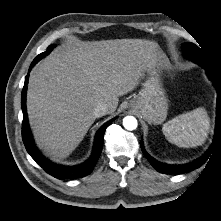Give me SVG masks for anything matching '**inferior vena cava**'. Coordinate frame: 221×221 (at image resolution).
I'll return each mask as SVG.
<instances>
[{"mask_svg":"<svg viewBox=\"0 0 221 221\" xmlns=\"http://www.w3.org/2000/svg\"><path fill=\"white\" fill-rule=\"evenodd\" d=\"M108 112H109L108 105L105 104V103H99V104L94 108L93 114H94V116L97 118V117H102V116L108 114Z\"/></svg>","mask_w":221,"mask_h":221,"instance_id":"602c4592","label":"inferior vena cava"}]
</instances>
